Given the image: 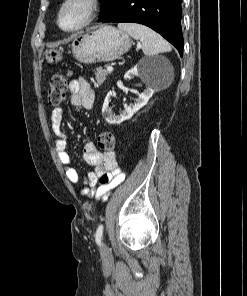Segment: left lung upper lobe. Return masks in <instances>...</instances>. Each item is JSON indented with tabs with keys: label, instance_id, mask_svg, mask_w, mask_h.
Here are the masks:
<instances>
[{
	"label": "left lung upper lobe",
	"instance_id": "obj_1",
	"mask_svg": "<svg viewBox=\"0 0 247 296\" xmlns=\"http://www.w3.org/2000/svg\"><path fill=\"white\" fill-rule=\"evenodd\" d=\"M100 2L102 3V10L100 12V15H102L104 12H106L109 9L112 0H100Z\"/></svg>",
	"mask_w": 247,
	"mask_h": 296
}]
</instances>
